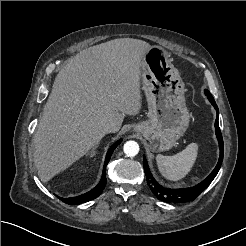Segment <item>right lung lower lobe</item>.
I'll use <instances>...</instances> for the list:
<instances>
[{"mask_svg": "<svg viewBox=\"0 0 246 246\" xmlns=\"http://www.w3.org/2000/svg\"><path fill=\"white\" fill-rule=\"evenodd\" d=\"M121 140L117 141L114 145L111 146V148L108 150V153L106 155V159H105V163H104V167H103V174H102V178L99 182V184L92 189L91 191L77 196V197H72V198H60L58 197L60 200H62L63 202L69 204V205H77L80 203H84L90 200L95 199L96 197H98L101 192L103 191L105 185H106V166L110 160V157L114 151V149L120 144Z\"/></svg>", "mask_w": 246, "mask_h": 246, "instance_id": "1", "label": "right lung lower lobe"}]
</instances>
